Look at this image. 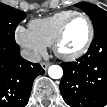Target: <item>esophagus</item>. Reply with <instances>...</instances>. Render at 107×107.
<instances>
[{"label": "esophagus", "instance_id": "esophagus-1", "mask_svg": "<svg viewBox=\"0 0 107 107\" xmlns=\"http://www.w3.org/2000/svg\"><path fill=\"white\" fill-rule=\"evenodd\" d=\"M51 65L50 62H41V67L44 69V70H47V68Z\"/></svg>", "mask_w": 107, "mask_h": 107}]
</instances>
